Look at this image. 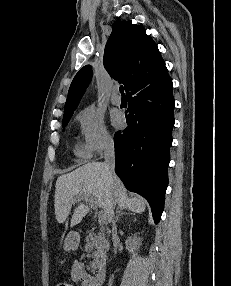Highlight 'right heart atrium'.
I'll return each mask as SVG.
<instances>
[{
  "instance_id": "right-heart-atrium-1",
  "label": "right heart atrium",
  "mask_w": 231,
  "mask_h": 286,
  "mask_svg": "<svg viewBox=\"0 0 231 286\" xmlns=\"http://www.w3.org/2000/svg\"><path fill=\"white\" fill-rule=\"evenodd\" d=\"M83 146L89 154H101L113 146L103 115L93 107H85L77 114Z\"/></svg>"
}]
</instances>
